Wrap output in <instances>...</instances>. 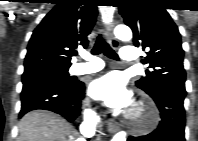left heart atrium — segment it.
Segmentation results:
<instances>
[{"mask_svg": "<svg viewBox=\"0 0 198 141\" xmlns=\"http://www.w3.org/2000/svg\"><path fill=\"white\" fill-rule=\"evenodd\" d=\"M90 94L113 109H122L131 102L124 80L117 73H110L95 80L90 86Z\"/></svg>", "mask_w": 198, "mask_h": 141, "instance_id": "39dd6f15", "label": "left heart atrium"}]
</instances>
